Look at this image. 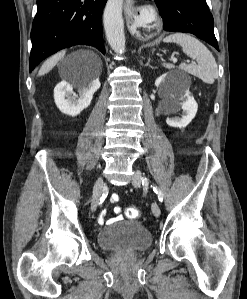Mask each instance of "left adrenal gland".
I'll return each instance as SVG.
<instances>
[{
	"label": "left adrenal gland",
	"instance_id": "1",
	"mask_svg": "<svg viewBox=\"0 0 247 299\" xmlns=\"http://www.w3.org/2000/svg\"><path fill=\"white\" fill-rule=\"evenodd\" d=\"M145 66H149L153 69V67L150 65V60L147 61L146 65Z\"/></svg>",
	"mask_w": 247,
	"mask_h": 299
}]
</instances>
